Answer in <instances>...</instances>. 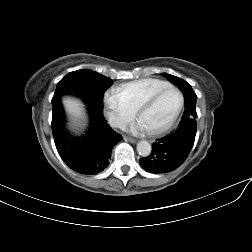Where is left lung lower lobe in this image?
<instances>
[{
    "label": "left lung lower lobe",
    "instance_id": "obj_1",
    "mask_svg": "<svg viewBox=\"0 0 252 252\" xmlns=\"http://www.w3.org/2000/svg\"><path fill=\"white\" fill-rule=\"evenodd\" d=\"M185 111L178 128L169 135L159 138L152 145L151 154L139 160L147 172L167 173L181 166L188 157L196 136V100L193 89L182 90Z\"/></svg>",
    "mask_w": 252,
    "mask_h": 252
}]
</instances>
